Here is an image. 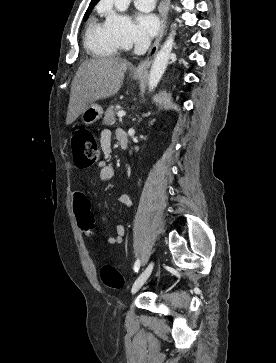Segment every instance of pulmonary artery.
Here are the masks:
<instances>
[{"label": "pulmonary artery", "mask_w": 276, "mask_h": 363, "mask_svg": "<svg viewBox=\"0 0 276 363\" xmlns=\"http://www.w3.org/2000/svg\"><path fill=\"white\" fill-rule=\"evenodd\" d=\"M156 0H134L135 6L144 12L153 10Z\"/></svg>", "instance_id": "pulmonary-artery-1"}]
</instances>
